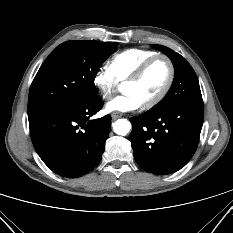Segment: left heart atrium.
<instances>
[{
    "mask_svg": "<svg viewBox=\"0 0 233 233\" xmlns=\"http://www.w3.org/2000/svg\"><path fill=\"white\" fill-rule=\"evenodd\" d=\"M142 104L135 94L124 92L122 95L111 99L106 104V110L108 112H129L138 109Z\"/></svg>",
    "mask_w": 233,
    "mask_h": 233,
    "instance_id": "left-heart-atrium-1",
    "label": "left heart atrium"
}]
</instances>
